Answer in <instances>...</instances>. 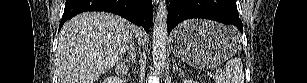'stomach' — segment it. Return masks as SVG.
Masks as SVG:
<instances>
[{
  "mask_svg": "<svg viewBox=\"0 0 307 83\" xmlns=\"http://www.w3.org/2000/svg\"><path fill=\"white\" fill-rule=\"evenodd\" d=\"M240 34L232 26L207 20H190L172 34V51L183 62L199 68L216 67L233 56Z\"/></svg>",
  "mask_w": 307,
  "mask_h": 83,
  "instance_id": "stomach-1",
  "label": "stomach"
}]
</instances>
